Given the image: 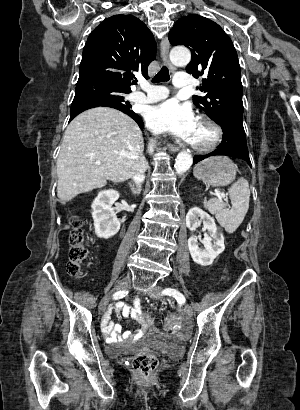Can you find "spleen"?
<instances>
[{"label":"spleen","instance_id":"obj_1","mask_svg":"<svg viewBox=\"0 0 300 410\" xmlns=\"http://www.w3.org/2000/svg\"><path fill=\"white\" fill-rule=\"evenodd\" d=\"M232 208H226L220 199L209 200L207 206L210 213L215 214L218 223L225 228L226 232L233 233L242 223L250 200V189L248 181L240 178L228 189Z\"/></svg>","mask_w":300,"mask_h":410}]
</instances>
